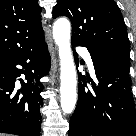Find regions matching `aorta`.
Instances as JSON below:
<instances>
[{
	"mask_svg": "<svg viewBox=\"0 0 136 136\" xmlns=\"http://www.w3.org/2000/svg\"><path fill=\"white\" fill-rule=\"evenodd\" d=\"M71 25L68 19L59 18L53 25V38L58 45L60 57V93L61 108L71 113L76 104V69L70 46Z\"/></svg>",
	"mask_w": 136,
	"mask_h": 136,
	"instance_id": "aorta-1",
	"label": "aorta"
}]
</instances>
